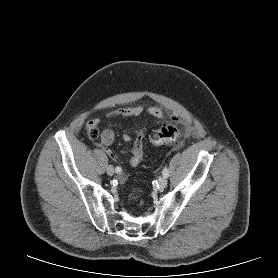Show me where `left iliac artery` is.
<instances>
[{"mask_svg": "<svg viewBox=\"0 0 278 278\" xmlns=\"http://www.w3.org/2000/svg\"><path fill=\"white\" fill-rule=\"evenodd\" d=\"M163 176H165L166 178L169 176V171L167 169V167L163 168V172H162Z\"/></svg>", "mask_w": 278, "mask_h": 278, "instance_id": "obj_1", "label": "left iliac artery"}]
</instances>
